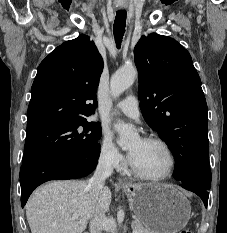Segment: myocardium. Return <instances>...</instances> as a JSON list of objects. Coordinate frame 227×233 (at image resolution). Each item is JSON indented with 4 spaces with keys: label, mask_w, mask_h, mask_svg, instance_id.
I'll use <instances>...</instances> for the list:
<instances>
[{
    "label": "myocardium",
    "mask_w": 227,
    "mask_h": 233,
    "mask_svg": "<svg viewBox=\"0 0 227 233\" xmlns=\"http://www.w3.org/2000/svg\"><path fill=\"white\" fill-rule=\"evenodd\" d=\"M142 141L147 142V143H155V144L162 146L169 156L170 164L166 172H164L163 174L149 175V174H146L138 170L133 165V163L131 162L129 158L128 166L132 174H134L136 177L140 179L148 180V181H160V180H165L169 178L173 174L175 167H176V157L170 145L165 140L158 138V137H153V136L144 137Z\"/></svg>",
    "instance_id": "obj_1"
}]
</instances>
